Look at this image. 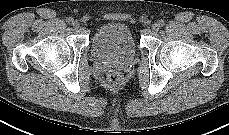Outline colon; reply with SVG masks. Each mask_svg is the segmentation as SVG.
Listing matches in <instances>:
<instances>
[{
    "label": "colon",
    "instance_id": "5ec220e1",
    "mask_svg": "<svg viewBox=\"0 0 229 135\" xmlns=\"http://www.w3.org/2000/svg\"><path fill=\"white\" fill-rule=\"evenodd\" d=\"M107 80L110 85L119 86L122 81V77L118 72H111L109 73Z\"/></svg>",
    "mask_w": 229,
    "mask_h": 135
}]
</instances>
